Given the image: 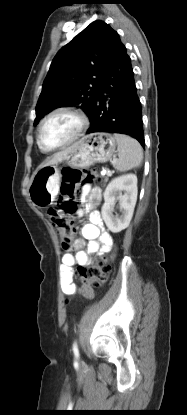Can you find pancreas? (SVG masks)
Here are the masks:
<instances>
[{"label": "pancreas", "mask_w": 187, "mask_h": 415, "mask_svg": "<svg viewBox=\"0 0 187 415\" xmlns=\"http://www.w3.org/2000/svg\"><path fill=\"white\" fill-rule=\"evenodd\" d=\"M112 175V173L110 172V173H107V176L104 178V182H107L108 181V177H110Z\"/></svg>", "instance_id": "cf45deb5"}]
</instances>
